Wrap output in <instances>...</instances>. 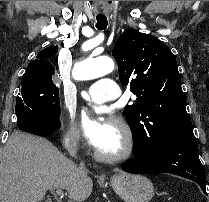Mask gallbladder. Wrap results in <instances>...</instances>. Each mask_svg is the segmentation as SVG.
Listing matches in <instances>:
<instances>
[{"label": "gallbladder", "mask_w": 209, "mask_h": 202, "mask_svg": "<svg viewBox=\"0 0 209 202\" xmlns=\"http://www.w3.org/2000/svg\"><path fill=\"white\" fill-rule=\"evenodd\" d=\"M46 202H52L50 199H48Z\"/></svg>", "instance_id": "1"}]
</instances>
